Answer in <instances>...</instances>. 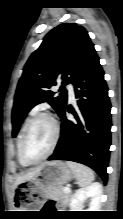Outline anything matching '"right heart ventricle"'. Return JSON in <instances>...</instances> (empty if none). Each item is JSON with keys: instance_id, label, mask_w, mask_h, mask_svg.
<instances>
[{"instance_id": "1", "label": "right heart ventricle", "mask_w": 123, "mask_h": 219, "mask_svg": "<svg viewBox=\"0 0 123 219\" xmlns=\"http://www.w3.org/2000/svg\"><path fill=\"white\" fill-rule=\"evenodd\" d=\"M19 140H20V137H19V139H18V141H17V158H18V161H19V163H20L21 166L27 167V166H29V164L25 163V162L21 159V157H20V153H19Z\"/></svg>"}]
</instances>
